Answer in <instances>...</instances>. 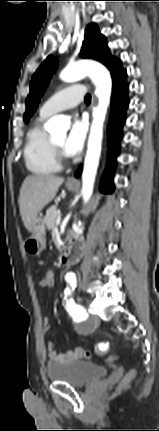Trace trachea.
Here are the masks:
<instances>
[{"label":"trachea","mask_w":159,"mask_h":431,"mask_svg":"<svg viewBox=\"0 0 159 431\" xmlns=\"http://www.w3.org/2000/svg\"><path fill=\"white\" fill-rule=\"evenodd\" d=\"M85 102H86V103H90V102H91V95H90V94H87V95H86V97H85Z\"/></svg>","instance_id":"1"}]
</instances>
